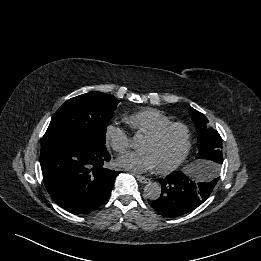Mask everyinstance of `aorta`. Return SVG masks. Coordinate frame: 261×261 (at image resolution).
<instances>
[{"mask_svg":"<svg viewBox=\"0 0 261 261\" xmlns=\"http://www.w3.org/2000/svg\"><path fill=\"white\" fill-rule=\"evenodd\" d=\"M139 137H140L139 135H135L134 141H137ZM144 193L148 199L157 200L161 194V186L156 182H149L144 187Z\"/></svg>","mask_w":261,"mask_h":261,"instance_id":"obj_1","label":"aorta"}]
</instances>
